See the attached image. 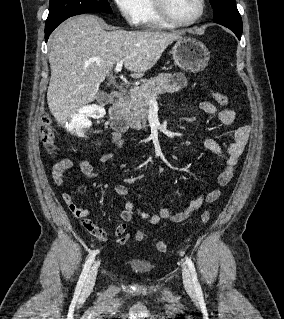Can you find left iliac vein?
Returning <instances> with one entry per match:
<instances>
[{"label":"left iliac vein","mask_w":284,"mask_h":319,"mask_svg":"<svg viewBox=\"0 0 284 319\" xmlns=\"http://www.w3.org/2000/svg\"><path fill=\"white\" fill-rule=\"evenodd\" d=\"M182 277L185 289L190 293L194 292V285L191 274L184 264L182 265Z\"/></svg>","instance_id":"4c4485c4"}]
</instances>
